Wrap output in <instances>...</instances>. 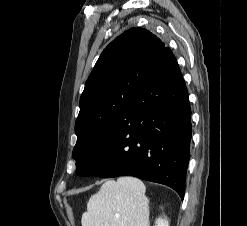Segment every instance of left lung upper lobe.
Here are the masks:
<instances>
[{"instance_id": "5c2ea615", "label": "left lung upper lobe", "mask_w": 247, "mask_h": 226, "mask_svg": "<svg viewBox=\"0 0 247 226\" xmlns=\"http://www.w3.org/2000/svg\"><path fill=\"white\" fill-rule=\"evenodd\" d=\"M164 48L165 44L150 31L131 28L104 49L80 98L75 123L77 142L72 153L78 175L126 111Z\"/></svg>"}]
</instances>
